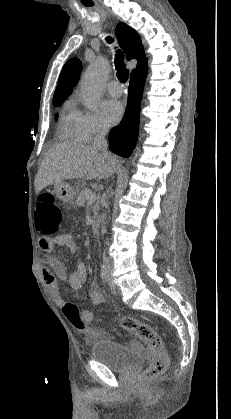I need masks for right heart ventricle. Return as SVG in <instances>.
Segmentation results:
<instances>
[{
    "label": "right heart ventricle",
    "instance_id": "obj_1",
    "mask_svg": "<svg viewBox=\"0 0 231 419\" xmlns=\"http://www.w3.org/2000/svg\"><path fill=\"white\" fill-rule=\"evenodd\" d=\"M80 112L71 101L66 102L60 115L58 133L67 141L80 143L85 141L79 128Z\"/></svg>",
    "mask_w": 231,
    "mask_h": 419
}]
</instances>
